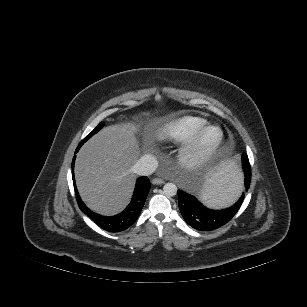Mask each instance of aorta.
Wrapping results in <instances>:
<instances>
[{
  "label": "aorta",
  "instance_id": "aorta-1",
  "mask_svg": "<svg viewBox=\"0 0 307 307\" xmlns=\"http://www.w3.org/2000/svg\"><path fill=\"white\" fill-rule=\"evenodd\" d=\"M163 192L167 197H172L177 194V186L173 183H166L163 187Z\"/></svg>",
  "mask_w": 307,
  "mask_h": 307
}]
</instances>
